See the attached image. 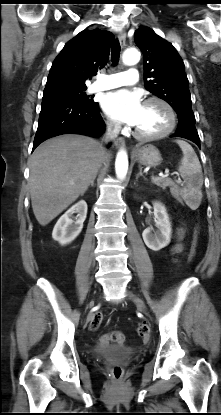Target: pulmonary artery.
Masks as SVG:
<instances>
[{
    "label": "pulmonary artery",
    "mask_w": 221,
    "mask_h": 415,
    "mask_svg": "<svg viewBox=\"0 0 221 415\" xmlns=\"http://www.w3.org/2000/svg\"><path fill=\"white\" fill-rule=\"evenodd\" d=\"M139 75L135 68L125 72L108 75H101L89 88L90 92H99L118 88L126 85H133L138 81Z\"/></svg>",
    "instance_id": "1"
}]
</instances>
